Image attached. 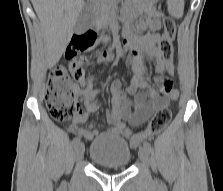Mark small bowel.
I'll use <instances>...</instances> for the list:
<instances>
[{"mask_svg": "<svg viewBox=\"0 0 223 191\" xmlns=\"http://www.w3.org/2000/svg\"><path fill=\"white\" fill-rule=\"evenodd\" d=\"M145 12L148 16L140 18L139 27L144 31L141 35L134 34L128 26L123 29V35L130 46V57L128 64L131 67L134 78L128 86V92L134 95V101L131 102L122 89L120 80H113L110 84L112 95V110L106 111V121L110 125L107 133H121L128 122L133 126L143 124L152 112L178 97V92L173 88V73H166L168 76H160L164 73L163 57L157 48L160 38L159 30L161 28V12L151 4L145 6ZM121 55V53H119ZM110 55L107 52L98 57V62L107 61ZM153 60L155 63V88L150 81L142 78L145 71V61ZM83 88L75 87V93L85 107V112L77 114L71 121L68 130L72 134L83 136L87 140H92L102 134L99 129L86 128L83 124L87 121L88 115L100 109L96 102V97L101 93L100 89H93L90 84ZM146 90L137 92V90Z\"/></svg>", "mask_w": 223, "mask_h": 191, "instance_id": "1", "label": "small bowel"}]
</instances>
